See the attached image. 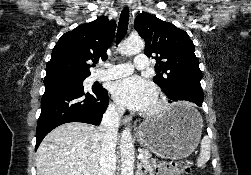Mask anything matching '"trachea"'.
<instances>
[{
	"label": "trachea",
	"mask_w": 251,
	"mask_h": 175,
	"mask_svg": "<svg viewBox=\"0 0 251 175\" xmlns=\"http://www.w3.org/2000/svg\"><path fill=\"white\" fill-rule=\"evenodd\" d=\"M128 22H129V9L128 7H125L121 12L120 19L118 22L116 44H119L121 40L125 37L127 33Z\"/></svg>",
	"instance_id": "obj_1"
}]
</instances>
